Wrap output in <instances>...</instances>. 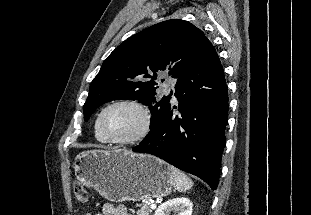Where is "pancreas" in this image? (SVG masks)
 <instances>
[{"mask_svg": "<svg viewBox=\"0 0 311 215\" xmlns=\"http://www.w3.org/2000/svg\"><path fill=\"white\" fill-rule=\"evenodd\" d=\"M137 207H139L137 211L138 215H150V213L152 212L149 205L147 204H137Z\"/></svg>", "mask_w": 311, "mask_h": 215, "instance_id": "cf45deb5", "label": "pancreas"}]
</instances>
